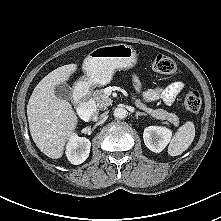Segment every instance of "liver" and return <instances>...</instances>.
<instances>
[{"label": "liver", "mask_w": 221, "mask_h": 221, "mask_svg": "<svg viewBox=\"0 0 221 221\" xmlns=\"http://www.w3.org/2000/svg\"><path fill=\"white\" fill-rule=\"evenodd\" d=\"M76 70L77 64L72 63L50 72L37 84L27 105L32 139L52 159L62 157L65 144L78 124L72 105L56 97L55 86L65 83Z\"/></svg>", "instance_id": "obj_1"}]
</instances>
